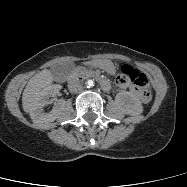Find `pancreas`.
Here are the masks:
<instances>
[{
	"mask_svg": "<svg viewBox=\"0 0 187 187\" xmlns=\"http://www.w3.org/2000/svg\"><path fill=\"white\" fill-rule=\"evenodd\" d=\"M75 76L81 78L82 80L88 79L94 76V71L91 68L77 67L75 69Z\"/></svg>",
	"mask_w": 187,
	"mask_h": 187,
	"instance_id": "1",
	"label": "pancreas"
}]
</instances>
